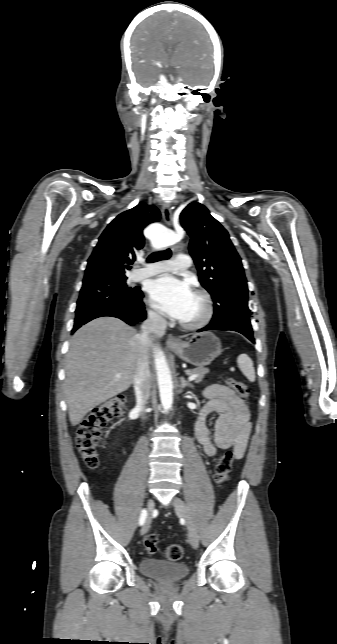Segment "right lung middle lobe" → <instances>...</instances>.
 <instances>
[{"mask_svg":"<svg viewBox=\"0 0 337 644\" xmlns=\"http://www.w3.org/2000/svg\"><path fill=\"white\" fill-rule=\"evenodd\" d=\"M126 279L95 278L83 281L75 312L127 303L139 296V288L128 287Z\"/></svg>","mask_w":337,"mask_h":644,"instance_id":"obj_1","label":"right lung middle lobe"}]
</instances>
